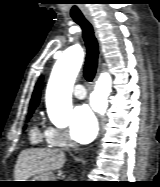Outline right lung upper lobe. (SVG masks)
I'll use <instances>...</instances> for the list:
<instances>
[{"label": "right lung upper lobe", "instance_id": "1", "mask_svg": "<svg viewBox=\"0 0 160 187\" xmlns=\"http://www.w3.org/2000/svg\"><path fill=\"white\" fill-rule=\"evenodd\" d=\"M43 87V77H41L38 81V83L35 86L33 95H32V99L30 101V109H35L37 107V105L39 104L40 101V95H41V90Z\"/></svg>", "mask_w": 160, "mask_h": 187}]
</instances>
